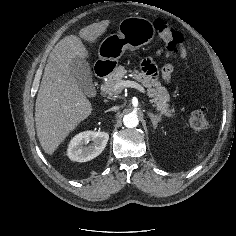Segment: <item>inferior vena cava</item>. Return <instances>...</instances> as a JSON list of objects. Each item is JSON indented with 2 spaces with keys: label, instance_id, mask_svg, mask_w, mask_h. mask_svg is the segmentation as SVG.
Returning a JSON list of instances; mask_svg holds the SVG:
<instances>
[{
  "label": "inferior vena cava",
  "instance_id": "602c4592",
  "mask_svg": "<svg viewBox=\"0 0 236 236\" xmlns=\"http://www.w3.org/2000/svg\"><path fill=\"white\" fill-rule=\"evenodd\" d=\"M119 109V106H113L112 108L109 109V111H116Z\"/></svg>",
  "mask_w": 236,
  "mask_h": 236
}]
</instances>
